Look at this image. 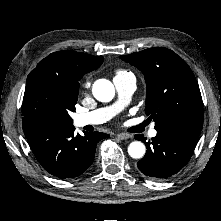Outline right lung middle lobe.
Here are the masks:
<instances>
[{"label":"right lung middle lobe","mask_w":221,"mask_h":221,"mask_svg":"<svg viewBox=\"0 0 221 221\" xmlns=\"http://www.w3.org/2000/svg\"><path fill=\"white\" fill-rule=\"evenodd\" d=\"M77 98H69L54 80L34 78L26 82L22 122H50L71 126L69 113L75 111Z\"/></svg>","instance_id":"dd1d6c3e"}]
</instances>
